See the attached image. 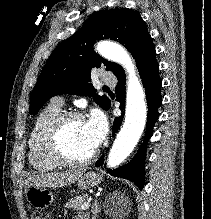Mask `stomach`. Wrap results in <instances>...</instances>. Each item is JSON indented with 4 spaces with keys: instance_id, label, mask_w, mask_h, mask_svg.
Wrapping results in <instances>:
<instances>
[{
    "instance_id": "obj_1",
    "label": "stomach",
    "mask_w": 211,
    "mask_h": 219,
    "mask_svg": "<svg viewBox=\"0 0 211 219\" xmlns=\"http://www.w3.org/2000/svg\"><path fill=\"white\" fill-rule=\"evenodd\" d=\"M102 182V175L96 172L84 173L78 180L77 186L84 190L97 186ZM27 201L37 209L49 207L54 201V195L45 187L30 186L26 191Z\"/></svg>"
}]
</instances>
